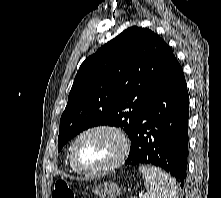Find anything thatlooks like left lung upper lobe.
<instances>
[{
	"label": "left lung upper lobe",
	"instance_id": "left-lung-upper-lobe-1",
	"mask_svg": "<svg viewBox=\"0 0 221 198\" xmlns=\"http://www.w3.org/2000/svg\"><path fill=\"white\" fill-rule=\"evenodd\" d=\"M173 57L162 38L135 26L89 56L77 72L61 116L58 151L75 135L98 125L123 127L130 138Z\"/></svg>",
	"mask_w": 221,
	"mask_h": 198
}]
</instances>
